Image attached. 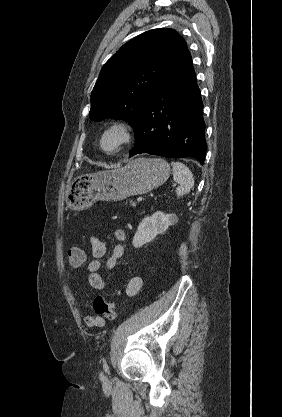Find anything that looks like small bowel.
I'll list each match as a JSON object with an SVG mask.
<instances>
[{
    "label": "small bowel",
    "instance_id": "small-bowel-1",
    "mask_svg": "<svg viewBox=\"0 0 282 417\" xmlns=\"http://www.w3.org/2000/svg\"><path fill=\"white\" fill-rule=\"evenodd\" d=\"M113 236L119 244L114 247L111 256L106 259L107 248L105 243L95 234H91L89 237L93 258L88 263V284L94 290H101L105 287V279L100 271L112 270L116 266L118 259L126 254V249L123 245L127 240L126 231L123 228H115ZM142 286V278L133 276L127 283L125 293L128 297H133L139 293ZM84 322L88 327L101 328L105 325L104 317L98 315H86Z\"/></svg>",
    "mask_w": 282,
    "mask_h": 417
}]
</instances>
